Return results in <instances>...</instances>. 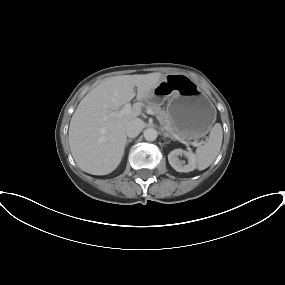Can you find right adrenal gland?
<instances>
[{
  "instance_id": "1",
  "label": "right adrenal gland",
  "mask_w": 285,
  "mask_h": 285,
  "mask_svg": "<svg viewBox=\"0 0 285 285\" xmlns=\"http://www.w3.org/2000/svg\"><path fill=\"white\" fill-rule=\"evenodd\" d=\"M132 140H133V139H128V140L126 141V144L128 145L130 142H132Z\"/></svg>"
}]
</instances>
